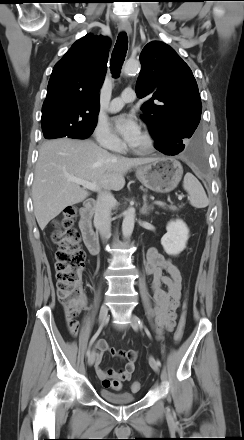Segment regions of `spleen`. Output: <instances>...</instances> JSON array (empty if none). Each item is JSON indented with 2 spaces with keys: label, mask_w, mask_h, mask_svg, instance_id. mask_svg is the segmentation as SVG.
Listing matches in <instances>:
<instances>
[{
  "label": "spleen",
  "mask_w": 244,
  "mask_h": 440,
  "mask_svg": "<svg viewBox=\"0 0 244 440\" xmlns=\"http://www.w3.org/2000/svg\"><path fill=\"white\" fill-rule=\"evenodd\" d=\"M183 188L189 194L188 200L193 207L205 208L209 205V200L203 186L193 174L186 173L183 180Z\"/></svg>",
  "instance_id": "3e777b00"
}]
</instances>
